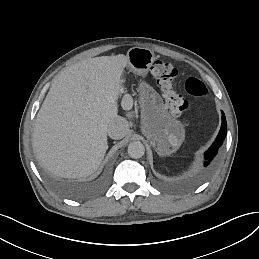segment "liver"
I'll return each mask as SVG.
<instances>
[{
	"instance_id": "1",
	"label": "liver",
	"mask_w": 259,
	"mask_h": 259,
	"mask_svg": "<svg viewBox=\"0 0 259 259\" xmlns=\"http://www.w3.org/2000/svg\"><path fill=\"white\" fill-rule=\"evenodd\" d=\"M127 62L123 54L89 58L57 75L32 134L42 167L64 178L97 171L108 149V125L118 117L120 77Z\"/></svg>"
}]
</instances>
